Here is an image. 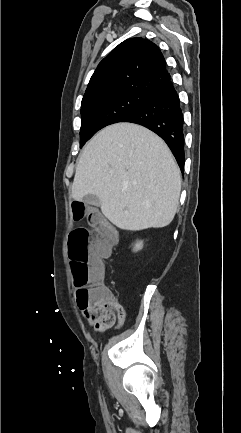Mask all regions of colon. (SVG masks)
I'll return each instance as SVG.
<instances>
[{"label":"colon","mask_w":241,"mask_h":433,"mask_svg":"<svg viewBox=\"0 0 241 433\" xmlns=\"http://www.w3.org/2000/svg\"><path fill=\"white\" fill-rule=\"evenodd\" d=\"M71 220L85 221L86 214L94 228L93 239L86 228L74 230L70 235L69 257L74 272V286L78 309L84 312L99 299L107 296L103 288L104 268L102 258L106 256L116 242L109 224L97 211L87 205L86 200L71 202Z\"/></svg>","instance_id":"obj_1"}]
</instances>
